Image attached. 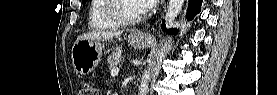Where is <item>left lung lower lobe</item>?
I'll use <instances>...</instances> for the list:
<instances>
[{
	"instance_id": "0a47b994",
	"label": "left lung lower lobe",
	"mask_w": 277,
	"mask_h": 95,
	"mask_svg": "<svg viewBox=\"0 0 277 95\" xmlns=\"http://www.w3.org/2000/svg\"><path fill=\"white\" fill-rule=\"evenodd\" d=\"M202 0H189L188 17L192 19L197 13L200 12ZM162 28L165 31V24H162ZM168 33H176L175 29H170Z\"/></svg>"
}]
</instances>
